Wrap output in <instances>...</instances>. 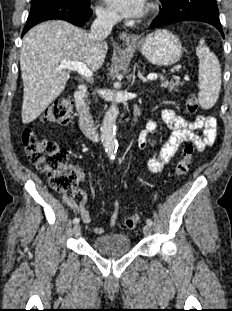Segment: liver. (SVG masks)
<instances>
[{
  "label": "liver",
  "instance_id": "6515ba94",
  "mask_svg": "<svg viewBox=\"0 0 232 311\" xmlns=\"http://www.w3.org/2000/svg\"><path fill=\"white\" fill-rule=\"evenodd\" d=\"M106 42L65 21H47L26 33L20 55L24 85L22 121H34L65 89L70 74L59 69L62 61L84 63L98 70L106 57Z\"/></svg>",
  "mask_w": 232,
  "mask_h": 311
}]
</instances>
